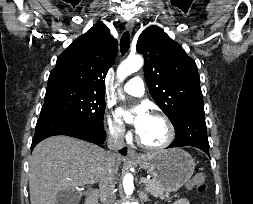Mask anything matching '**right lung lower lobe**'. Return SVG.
Returning <instances> with one entry per match:
<instances>
[{"instance_id": "98d812e1", "label": "right lung lower lobe", "mask_w": 253, "mask_h": 204, "mask_svg": "<svg viewBox=\"0 0 253 204\" xmlns=\"http://www.w3.org/2000/svg\"><path fill=\"white\" fill-rule=\"evenodd\" d=\"M54 135H67L91 143L101 144L105 141L106 133L104 127H92L80 122L65 119L39 118L31 149L43 139ZM120 152L125 155L126 148L120 150Z\"/></svg>"}]
</instances>
